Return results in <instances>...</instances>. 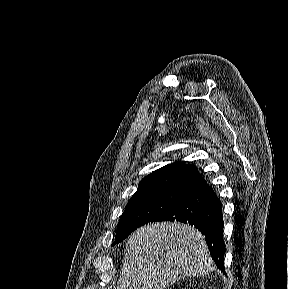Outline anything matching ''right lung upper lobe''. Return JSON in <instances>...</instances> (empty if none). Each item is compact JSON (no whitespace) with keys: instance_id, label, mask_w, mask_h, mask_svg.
Returning <instances> with one entry per match:
<instances>
[{"instance_id":"obj_1","label":"right lung upper lobe","mask_w":288,"mask_h":289,"mask_svg":"<svg viewBox=\"0 0 288 289\" xmlns=\"http://www.w3.org/2000/svg\"><path fill=\"white\" fill-rule=\"evenodd\" d=\"M196 166L174 162L168 164L145 178L139 183L137 191L152 188H175L189 190L202 180Z\"/></svg>"}]
</instances>
